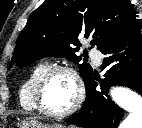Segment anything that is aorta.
<instances>
[{"mask_svg":"<svg viewBox=\"0 0 142 128\" xmlns=\"http://www.w3.org/2000/svg\"><path fill=\"white\" fill-rule=\"evenodd\" d=\"M111 97L120 108L129 112L120 128H142V97L124 87L111 89Z\"/></svg>","mask_w":142,"mask_h":128,"instance_id":"1","label":"aorta"}]
</instances>
